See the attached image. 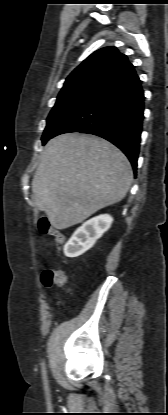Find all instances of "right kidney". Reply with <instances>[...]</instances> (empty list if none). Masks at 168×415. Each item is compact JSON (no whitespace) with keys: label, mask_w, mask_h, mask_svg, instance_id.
I'll return each mask as SVG.
<instances>
[{"label":"right kidney","mask_w":168,"mask_h":415,"mask_svg":"<svg viewBox=\"0 0 168 415\" xmlns=\"http://www.w3.org/2000/svg\"><path fill=\"white\" fill-rule=\"evenodd\" d=\"M113 218L102 214L89 219L80 226L64 246L67 257H78L89 250L95 242L110 228Z\"/></svg>","instance_id":"obj_1"}]
</instances>
